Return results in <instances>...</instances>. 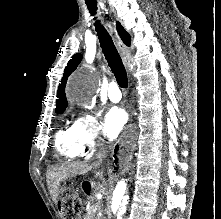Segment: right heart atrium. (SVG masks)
I'll list each match as a JSON object with an SVG mask.
<instances>
[{
    "mask_svg": "<svg viewBox=\"0 0 221 219\" xmlns=\"http://www.w3.org/2000/svg\"><path fill=\"white\" fill-rule=\"evenodd\" d=\"M79 143L85 152H91L98 148L101 140V126L95 114L82 113L73 123Z\"/></svg>",
    "mask_w": 221,
    "mask_h": 219,
    "instance_id": "obj_1",
    "label": "right heart atrium"
}]
</instances>
